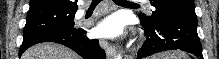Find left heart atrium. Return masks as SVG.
I'll use <instances>...</instances> for the list:
<instances>
[{
  "label": "left heart atrium",
  "mask_w": 219,
  "mask_h": 59,
  "mask_svg": "<svg viewBox=\"0 0 219 59\" xmlns=\"http://www.w3.org/2000/svg\"><path fill=\"white\" fill-rule=\"evenodd\" d=\"M123 23L117 17H108L102 20L95 29L100 37H111L118 34L122 29Z\"/></svg>",
  "instance_id": "39dd6f15"
}]
</instances>
